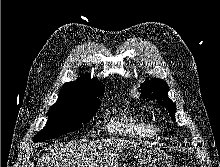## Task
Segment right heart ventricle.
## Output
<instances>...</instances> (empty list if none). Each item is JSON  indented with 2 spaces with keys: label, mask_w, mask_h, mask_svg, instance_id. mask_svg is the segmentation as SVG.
Masks as SVG:
<instances>
[{
  "label": "right heart ventricle",
  "mask_w": 220,
  "mask_h": 167,
  "mask_svg": "<svg viewBox=\"0 0 220 167\" xmlns=\"http://www.w3.org/2000/svg\"><path fill=\"white\" fill-rule=\"evenodd\" d=\"M105 131L111 136L137 140L152 139L157 133L155 123L123 107L111 113L105 121Z\"/></svg>",
  "instance_id": "1"
}]
</instances>
